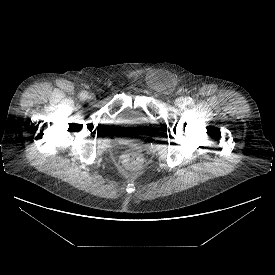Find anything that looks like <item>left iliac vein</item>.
<instances>
[{
    "label": "left iliac vein",
    "instance_id": "left-iliac-vein-1",
    "mask_svg": "<svg viewBox=\"0 0 275 275\" xmlns=\"http://www.w3.org/2000/svg\"><path fill=\"white\" fill-rule=\"evenodd\" d=\"M176 104L177 105H183L184 104V99L183 98L176 99Z\"/></svg>",
    "mask_w": 275,
    "mask_h": 275
}]
</instances>
